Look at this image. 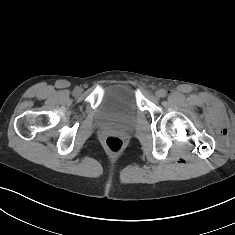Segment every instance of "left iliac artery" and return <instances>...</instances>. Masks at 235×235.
<instances>
[{
  "label": "left iliac artery",
  "mask_w": 235,
  "mask_h": 235,
  "mask_svg": "<svg viewBox=\"0 0 235 235\" xmlns=\"http://www.w3.org/2000/svg\"><path fill=\"white\" fill-rule=\"evenodd\" d=\"M165 96H166V91L163 90V91H162V97H165Z\"/></svg>",
  "instance_id": "1"
}]
</instances>
